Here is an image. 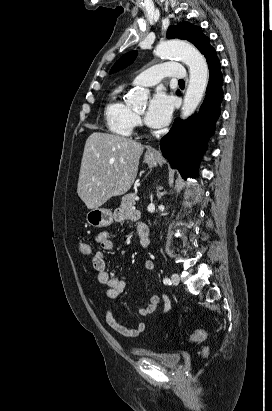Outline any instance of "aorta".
<instances>
[{"instance_id":"aorta-1","label":"aorta","mask_w":272,"mask_h":411,"mask_svg":"<svg viewBox=\"0 0 272 411\" xmlns=\"http://www.w3.org/2000/svg\"><path fill=\"white\" fill-rule=\"evenodd\" d=\"M156 55L161 58L176 57L189 67L190 79L184 96L182 118H188L201 102L209 78L208 65L204 56L192 45L178 40H166L156 47ZM129 99L134 105H144L147 92L135 88L129 93Z\"/></svg>"}]
</instances>
